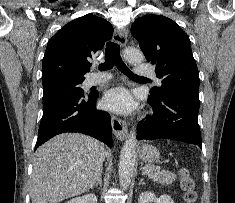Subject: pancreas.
<instances>
[{"label": "pancreas", "instance_id": "cf45deb5", "mask_svg": "<svg viewBox=\"0 0 235 203\" xmlns=\"http://www.w3.org/2000/svg\"><path fill=\"white\" fill-rule=\"evenodd\" d=\"M145 169L150 170V172H148L149 178L164 185L172 184L176 179L175 174H172L165 170L161 171L159 167L153 165H146Z\"/></svg>", "mask_w": 235, "mask_h": 203}]
</instances>
